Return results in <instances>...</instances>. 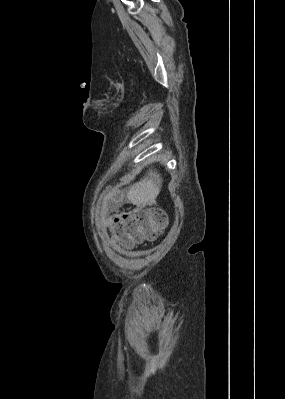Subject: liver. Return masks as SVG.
Masks as SVG:
<instances>
[{
	"instance_id": "6515ba94",
	"label": "liver",
	"mask_w": 285,
	"mask_h": 399,
	"mask_svg": "<svg viewBox=\"0 0 285 399\" xmlns=\"http://www.w3.org/2000/svg\"><path fill=\"white\" fill-rule=\"evenodd\" d=\"M160 190L161 184L158 175L151 171L148 176L129 188L127 198L132 204L145 207L156 203Z\"/></svg>"
}]
</instances>
